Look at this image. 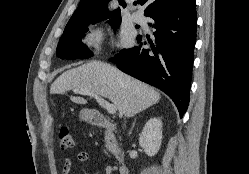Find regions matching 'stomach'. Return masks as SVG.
<instances>
[{
  "mask_svg": "<svg viewBox=\"0 0 249 174\" xmlns=\"http://www.w3.org/2000/svg\"><path fill=\"white\" fill-rule=\"evenodd\" d=\"M80 118L84 121H91L92 120V112L87 109H83L80 111Z\"/></svg>",
  "mask_w": 249,
  "mask_h": 174,
  "instance_id": "1",
  "label": "stomach"
}]
</instances>
